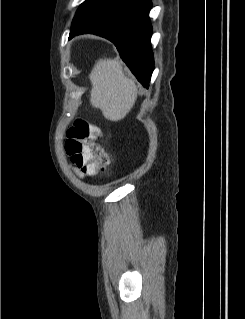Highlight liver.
Masks as SVG:
<instances>
[{
    "mask_svg": "<svg viewBox=\"0 0 245 319\" xmlns=\"http://www.w3.org/2000/svg\"><path fill=\"white\" fill-rule=\"evenodd\" d=\"M89 79L91 105L100 109L107 120L123 119L134 106L138 89L135 82L125 76L122 65L113 59H99Z\"/></svg>",
    "mask_w": 245,
    "mask_h": 319,
    "instance_id": "liver-1",
    "label": "liver"
}]
</instances>
